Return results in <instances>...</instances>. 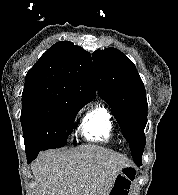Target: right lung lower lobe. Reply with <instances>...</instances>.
I'll return each instance as SVG.
<instances>
[{
	"label": "right lung lower lobe",
	"instance_id": "98d812e1",
	"mask_svg": "<svg viewBox=\"0 0 178 195\" xmlns=\"http://www.w3.org/2000/svg\"><path fill=\"white\" fill-rule=\"evenodd\" d=\"M39 152H36V153H33V154H29V155H26L27 156V162L30 163L32 162L38 155Z\"/></svg>",
	"mask_w": 178,
	"mask_h": 195
}]
</instances>
